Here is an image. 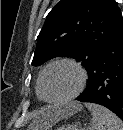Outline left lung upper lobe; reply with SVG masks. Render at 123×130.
I'll return each mask as SVG.
<instances>
[{
	"label": "left lung upper lobe",
	"mask_w": 123,
	"mask_h": 130,
	"mask_svg": "<svg viewBox=\"0 0 123 130\" xmlns=\"http://www.w3.org/2000/svg\"><path fill=\"white\" fill-rule=\"evenodd\" d=\"M122 26L115 0H61L47 15L37 37L32 65L67 56L81 61L88 72Z\"/></svg>",
	"instance_id": "1"
}]
</instances>
